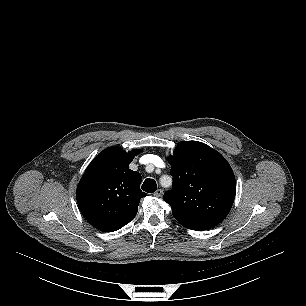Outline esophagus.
<instances>
[{
    "label": "esophagus",
    "instance_id": "1",
    "mask_svg": "<svg viewBox=\"0 0 306 306\" xmlns=\"http://www.w3.org/2000/svg\"><path fill=\"white\" fill-rule=\"evenodd\" d=\"M163 194V190L162 189H158L155 193H154V196L156 197H161Z\"/></svg>",
    "mask_w": 306,
    "mask_h": 306
}]
</instances>
